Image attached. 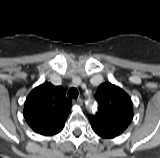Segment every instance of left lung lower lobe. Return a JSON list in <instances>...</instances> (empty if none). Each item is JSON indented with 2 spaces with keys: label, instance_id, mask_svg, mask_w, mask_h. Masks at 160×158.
<instances>
[{
  "label": "left lung lower lobe",
  "instance_id": "0a47b994",
  "mask_svg": "<svg viewBox=\"0 0 160 158\" xmlns=\"http://www.w3.org/2000/svg\"><path fill=\"white\" fill-rule=\"evenodd\" d=\"M93 128V131L98 135L100 136L101 138H104V139H111V138H114L116 137L115 135L107 132V131H104L98 127H95V126H92Z\"/></svg>",
  "mask_w": 160,
  "mask_h": 158
}]
</instances>
